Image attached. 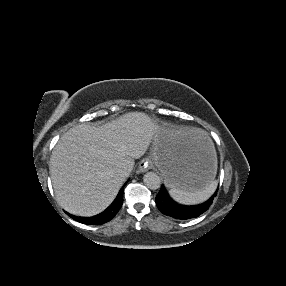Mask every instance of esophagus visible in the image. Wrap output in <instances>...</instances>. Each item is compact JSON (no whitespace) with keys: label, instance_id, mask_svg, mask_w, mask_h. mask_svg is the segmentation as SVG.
<instances>
[{"label":"esophagus","instance_id":"esophagus-1","mask_svg":"<svg viewBox=\"0 0 286 286\" xmlns=\"http://www.w3.org/2000/svg\"><path fill=\"white\" fill-rule=\"evenodd\" d=\"M152 167V162L149 159H145L140 162L138 166V172H146Z\"/></svg>","mask_w":286,"mask_h":286}]
</instances>
